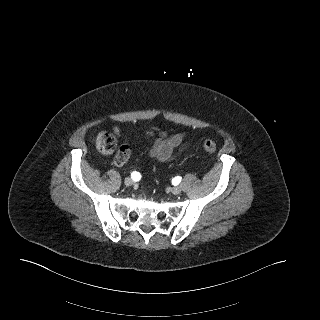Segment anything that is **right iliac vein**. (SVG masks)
<instances>
[{"label":"right iliac vein","mask_w":320,"mask_h":320,"mask_svg":"<svg viewBox=\"0 0 320 320\" xmlns=\"http://www.w3.org/2000/svg\"><path fill=\"white\" fill-rule=\"evenodd\" d=\"M124 183L127 186H131V185H133V180H132V178L127 177V178H125Z\"/></svg>","instance_id":"63e3f726"}]
</instances>
